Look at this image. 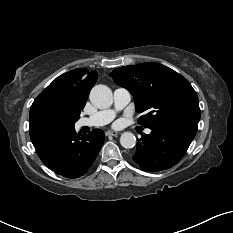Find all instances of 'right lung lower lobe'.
<instances>
[{"mask_svg": "<svg viewBox=\"0 0 233 233\" xmlns=\"http://www.w3.org/2000/svg\"><path fill=\"white\" fill-rule=\"evenodd\" d=\"M29 131L41 161L58 175L73 179L88 171L105 138L100 129L81 136L76 134L74 127H29Z\"/></svg>", "mask_w": 233, "mask_h": 233, "instance_id": "obj_1", "label": "right lung lower lobe"}]
</instances>
